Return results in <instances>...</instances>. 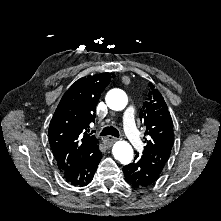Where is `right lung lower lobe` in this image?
<instances>
[{"label":"right lung lower lobe","mask_w":221,"mask_h":221,"mask_svg":"<svg viewBox=\"0 0 221 221\" xmlns=\"http://www.w3.org/2000/svg\"><path fill=\"white\" fill-rule=\"evenodd\" d=\"M101 158L102 153L96 144L61 173L71 185L85 186L91 182Z\"/></svg>","instance_id":"obj_1"}]
</instances>
